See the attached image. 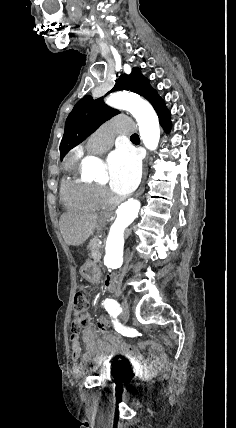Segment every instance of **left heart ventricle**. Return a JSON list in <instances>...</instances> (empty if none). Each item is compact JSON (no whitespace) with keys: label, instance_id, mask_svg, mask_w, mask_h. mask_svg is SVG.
<instances>
[{"label":"left heart ventricle","instance_id":"b2bd125f","mask_svg":"<svg viewBox=\"0 0 236 428\" xmlns=\"http://www.w3.org/2000/svg\"><path fill=\"white\" fill-rule=\"evenodd\" d=\"M106 179H107V175L102 176V177H99L96 181H97L99 184H103V183L106 181Z\"/></svg>","mask_w":236,"mask_h":428}]
</instances>
